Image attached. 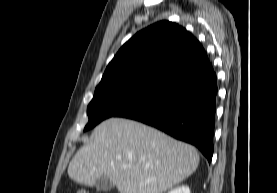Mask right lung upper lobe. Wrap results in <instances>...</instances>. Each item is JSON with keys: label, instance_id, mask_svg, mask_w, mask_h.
Masks as SVG:
<instances>
[{"label": "right lung upper lobe", "instance_id": "cb5924a9", "mask_svg": "<svg viewBox=\"0 0 277 193\" xmlns=\"http://www.w3.org/2000/svg\"><path fill=\"white\" fill-rule=\"evenodd\" d=\"M209 63L204 48L186 29L157 22L129 39L107 66L96 87H139L156 90Z\"/></svg>", "mask_w": 277, "mask_h": 193}]
</instances>
